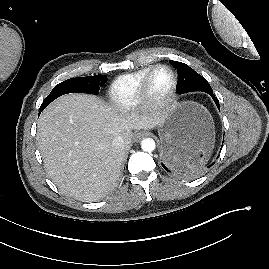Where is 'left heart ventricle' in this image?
<instances>
[{
    "label": "left heart ventricle",
    "mask_w": 269,
    "mask_h": 269,
    "mask_svg": "<svg viewBox=\"0 0 269 269\" xmlns=\"http://www.w3.org/2000/svg\"><path fill=\"white\" fill-rule=\"evenodd\" d=\"M171 74L168 70L160 68L155 71L150 83V93L153 97L163 96L171 85Z\"/></svg>",
    "instance_id": "b2bd125f"
}]
</instances>
